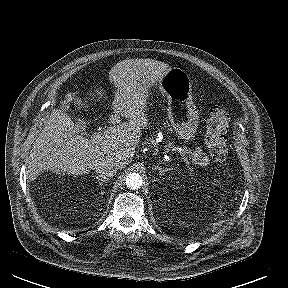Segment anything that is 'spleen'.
<instances>
[{"label": "spleen", "mask_w": 288, "mask_h": 288, "mask_svg": "<svg viewBox=\"0 0 288 288\" xmlns=\"http://www.w3.org/2000/svg\"><path fill=\"white\" fill-rule=\"evenodd\" d=\"M208 230V229H207ZM202 234H204L205 233V231L203 230V232H201Z\"/></svg>", "instance_id": "1"}]
</instances>
